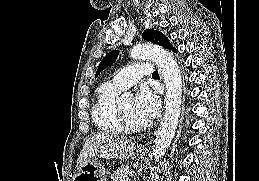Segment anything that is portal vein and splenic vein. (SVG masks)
Listing matches in <instances>:
<instances>
[{
    "label": "portal vein and splenic vein",
    "mask_w": 259,
    "mask_h": 181,
    "mask_svg": "<svg viewBox=\"0 0 259 181\" xmlns=\"http://www.w3.org/2000/svg\"><path fill=\"white\" fill-rule=\"evenodd\" d=\"M120 181H128V178L122 177L120 178Z\"/></svg>",
    "instance_id": "1"
}]
</instances>
